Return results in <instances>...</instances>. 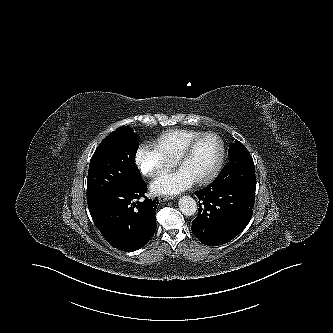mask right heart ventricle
<instances>
[{
	"label": "right heart ventricle",
	"instance_id": "obj_1",
	"mask_svg": "<svg viewBox=\"0 0 333 333\" xmlns=\"http://www.w3.org/2000/svg\"><path fill=\"white\" fill-rule=\"evenodd\" d=\"M201 133V131L187 129L169 130L153 142V147L160 155L175 162L188 142Z\"/></svg>",
	"mask_w": 333,
	"mask_h": 333
}]
</instances>
